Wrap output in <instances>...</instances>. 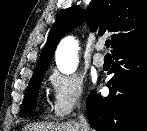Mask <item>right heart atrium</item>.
I'll return each mask as SVG.
<instances>
[{"label": "right heart atrium", "mask_w": 147, "mask_h": 131, "mask_svg": "<svg viewBox=\"0 0 147 131\" xmlns=\"http://www.w3.org/2000/svg\"><path fill=\"white\" fill-rule=\"evenodd\" d=\"M49 83L52 88V112L55 117L67 118L81 107L84 81L79 76L54 70L49 76Z\"/></svg>", "instance_id": "1"}]
</instances>
